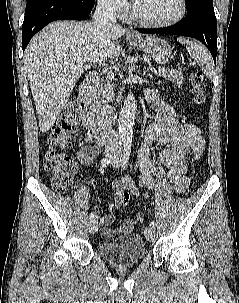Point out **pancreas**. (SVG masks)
<instances>
[{"instance_id": "cf45deb5", "label": "pancreas", "mask_w": 239, "mask_h": 303, "mask_svg": "<svg viewBox=\"0 0 239 303\" xmlns=\"http://www.w3.org/2000/svg\"><path fill=\"white\" fill-rule=\"evenodd\" d=\"M157 76L162 77L165 80L171 81L177 85L182 84L184 81L183 73L180 69H165L164 72H158ZM109 89L110 85L107 84L104 87L101 86L98 90V107L100 109H106L107 105H105V103L111 100V97L113 96V93L111 91L109 92L110 95L107 94Z\"/></svg>"}]
</instances>
